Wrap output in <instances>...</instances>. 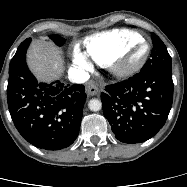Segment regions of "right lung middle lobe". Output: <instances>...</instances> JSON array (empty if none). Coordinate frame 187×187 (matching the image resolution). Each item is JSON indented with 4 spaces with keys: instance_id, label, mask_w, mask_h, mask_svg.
Segmentation results:
<instances>
[{
    "instance_id": "right-lung-middle-lobe-1",
    "label": "right lung middle lobe",
    "mask_w": 187,
    "mask_h": 187,
    "mask_svg": "<svg viewBox=\"0 0 187 187\" xmlns=\"http://www.w3.org/2000/svg\"><path fill=\"white\" fill-rule=\"evenodd\" d=\"M49 38L58 46H62L65 42V39L59 35H50Z\"/></svg>"
}]
</instances>
